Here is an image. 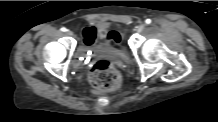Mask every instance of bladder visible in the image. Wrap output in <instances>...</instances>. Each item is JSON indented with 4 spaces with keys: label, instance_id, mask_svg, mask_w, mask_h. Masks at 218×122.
Here are the masks:
<instances>
[{
    "label": "bladder",
    "instance_id": "bladder-1",
    "mask_svg": "<svg viewBox=\"0 0 218 122\" xmlns=\"http://www.w3.org/2000/svg\"><path fill=\"white\" fill-rule=\"evenodd\" d=\"M100 38L102 39V43L97 46L99 50H112L114 49V40L111 38L109 33L101 32ZM125 54V53H123Z\"/></svg>",
    "mask_w": 218,
    "mask_h": 122
}]
</instances>
